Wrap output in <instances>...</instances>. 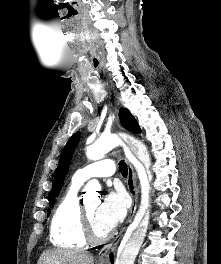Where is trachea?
Returning <instances> with one entry per match:
<instances>
[{
  "mask_svg": "<svg viewBox=\"0 0 221 264\" xmlns=\"http://www.w3.org/2000/svg\"><path fill=\"white\" fill-rule=\"evenodd\" d=\"M119 170H120V173L122 174L123 177H126L127 176L128 168H127V165L124 162V160H121L119 162Z\"/></svg>",
  "mask_w": 221,
  "mask_h": 264,
  "instance_id": "3493384b",
  "label": "trachea"
}]
</instances>
